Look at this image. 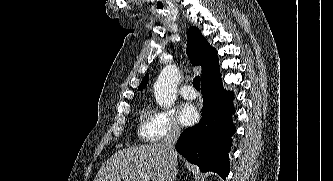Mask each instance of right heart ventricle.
I'll use <instances>...</instances> for the list:
<instances>
[{
	"instance_id": "1",
	"label": "right heart ventricle",
	"mask_w": 333,
	"mask_h": 181,
	"mask_svg": "<svg viewBox=\"0 0 333 181\" xmlns=\"http://www.w3.org/2000/svg\"><path fill=\"white\" fill-rule=\"evenodd\" d=\"M152 115H153L152 110L147 106H144L140 111L141 124L139 129V135L144 139H151L149 122Z\"/></svg>"
}]
</instances>
